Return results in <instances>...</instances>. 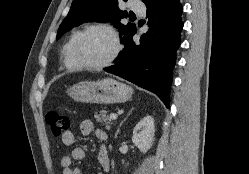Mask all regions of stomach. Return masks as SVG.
<instances>
[{
	"label": "stomach",
	"mask_w": 249,
	"mask_h": 174,
	"mask_svg": "<svg viewBox=\"0 0 249 174\" xmlns=\"http://www.w3.org/2000/svg\"><path fill=\"white\" fill-rule=\"evenodd\" d=\"M67 93L74 100L83 103H124L131 98V87L112 78L99 81H82L73 85Z\"/></svg>",
	"instance_id": "1"
}]
</instances>
